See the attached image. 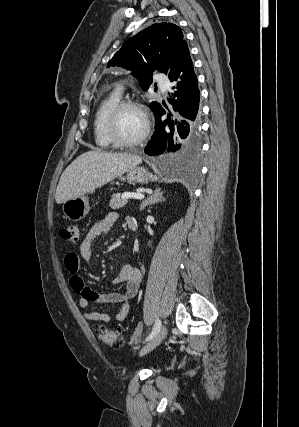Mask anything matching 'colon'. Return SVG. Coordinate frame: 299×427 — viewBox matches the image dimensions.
I'll list each match as a JSON object with an SVG mask.
<instances>
[{
	"mask_svg": "<svg viewBox=\"0 0 299 427\" xmlns=\"http://www.w3.org/2000/svg\"><path fill=\"white\" fill-rule=\"evenodd\" d=\"M61 237L71 243H78L80 241V230L75 224L68 225L60 230ZM95 330L98 333L100 339L107 345L113 347H120L123 343L122 337L116 332L107 329L104 326L97 325Z\"/></svg>",
	"mask_w": 299,
	"mask_h": 427,
	"instance_id": "colon-1",
	"label": "colon"
}]
</instances>
